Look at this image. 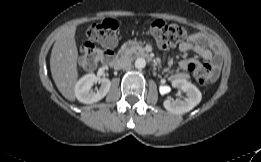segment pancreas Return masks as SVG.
<instances>
[{
    "label": "pancreas",
    "instance_id": "cf45deb5",
    "mask_svg": "<svg viewBox=\"0 0 261 162\" xmlns=\"http://www.w3.org/2000/svg\"><path fill=\"white\" fill-rule=\"evenodd\" d=\"M137 50L143 51V48H142L140 42H137V41H129V42L126 43V47H125V49H124V51H125L126 53H134V52H136Z\"/></svg>",
    "mask_w": 261,
    "mask_h": 162
}]
</instances>
